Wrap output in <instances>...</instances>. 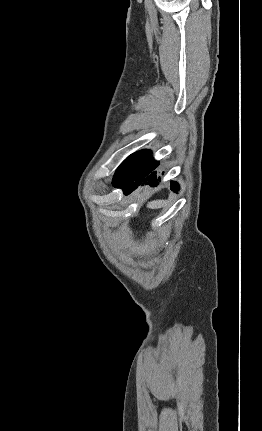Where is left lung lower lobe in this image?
<instances>
[{"instance_id":"left-lung-lower-lobe-1","label":"left lung lower lobe","mask_w":262,"mask_h":431,"mask_svg":"<svg viewBox=\"0 0 262 431\" xmlns=\"http://www.w3.org/2000/svg\"><path fill=\"white\" fill-rule=\"evenodd\" d=\"M158 165L159 163L151 157L150 151L136 152L131 165V177L125 185L120 187L123 189L124 194H130L141 183L151 186L156 185L158 178L155 169ZM179 188L178 183L171 181V189L174 192L178 191Z\"/></svg>"}]
</instances>
